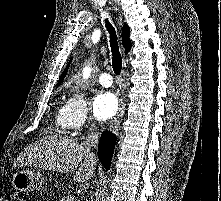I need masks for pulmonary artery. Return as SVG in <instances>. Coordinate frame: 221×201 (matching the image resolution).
<instances>
[{
    "instance_id": "pulmonary-artery-1",
    "label": "pulmonary artery",
    "mask_w": 221,
    "mask_h": 201,
    "mask_svg": "<svg viewBox=\"0 0 221 201\" xmlns=\"http://www.w3.org/2000/svg\"><path fill=\"white\" fill-rule=\"evenodd\" d=\"M99 82L104 87H109L112 85V77L109 73H102L99 77Z\"/></svg>"
}]
</instances>
